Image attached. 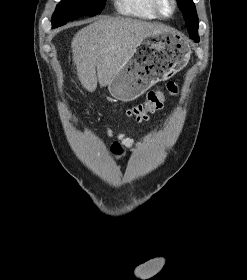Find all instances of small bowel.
Instances as JSON below:
<instances>
[{
  "label": "small bowel",
  "mask_w": 247,
  "mask_h": 280,
  "mask_svg": "<svg viewBox=\"0 0 247 280\" xmlns=\"http://www.w3.org/2000/svg\"><path fill=\"white\" fill-rule=\"evenodd\" d=\"M108 136H112L113 132L111 129H108ZM121 140L123 141L124 144L128 145V146H132L133 144V140L125 135H120Z\"/></svg>",
  "instance_id": "obj_1"
}]
</instances>
